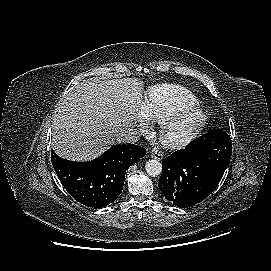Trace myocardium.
<instances>
[{
	"instance_id": "f54148a6",
	"label": "myocardium",
	"mask_w": 271,
	"mask_h": 271,
	"mask_svg": "<svg viewBox=\"0 0 271 271\" xmlns=\"http://www.w3.org/2000/svg\"><path fill=\"white\" fill-rule=\"evenodd\" d=\"M186 118H194L191 128L181 136H172L171 131L173 127L181 120ZM208 119L207 112L200 105L188 107L176 111L166 116L160 122V140L162 144L168 148H180L190 144L195 140L202 129L204 128Z\"/></svg>"
}]
</instances>
